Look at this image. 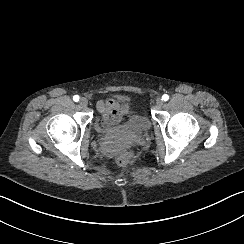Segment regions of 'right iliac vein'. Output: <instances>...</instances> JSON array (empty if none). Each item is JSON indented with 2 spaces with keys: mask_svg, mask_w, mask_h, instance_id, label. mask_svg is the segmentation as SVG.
I'll list each match as a JSON object with an SVG mask.
<instances>
[{
  "mask_svg": "<svg viewBox=\"0 0 244 244\" xmlns=\"http://www.w3.org/2000/svg\"><path fill=\"white\" fill-rule=\"evenodd\" d=\"M79 104L81 107H85L88 102H87V99L86 98H81L80 101H79Z\"/></svg>",
  "mask_w": 244,
  "mask_h": 244,
  "instance_id": "1",
  "label": "right iliac vein"
}]
</instances>
